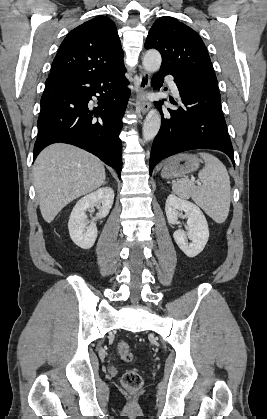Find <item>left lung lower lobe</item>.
<instances>
[{"label": "left lung lower lobe", "mask_w": 267, "mask_h": 419, "mask_svg": "<svg viewBox=\"0 0 267 419\" xmlns=\"http://www.w3.org/2000/svg\"><path fill=\"white\" fill-rule=\"evenodd\" d=\"M171 74L178 87L182 106L176 110L155 102L161 113V128L155 137L150 156V174L164 158L192 149H215L226 153L234 164L233 147L221 108L217 84L199 78L160 70L152 77L154 89L163 85ZM162 103V101H161ZM176 104L175 102H172Z\"/></svg>", "instance_id": "obj_1"}]
</instances>
